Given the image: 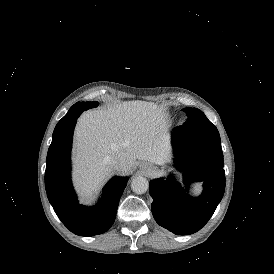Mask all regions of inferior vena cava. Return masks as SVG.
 <instances>
[{
  "instance_id": "obj_1",
  "label": "inferior vena cava",
  "mask_w": 274,
  "mask_h": 274,
  "mask_svg": "<svg viewBox=\"0 0 274 274\" xmlns=\"http://www.w3.org/2000/svg\"><path fill=\"white\" fill-rule=\"evenodd\" d=\"M104 161L108 163L113 169H123V164L117 157L113 158L111 156H107L105 157Z\"/></svg>"
}]
</instances>
